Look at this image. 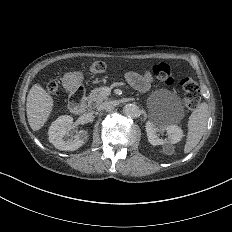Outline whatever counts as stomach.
Here are the masks:
<instances>
[{"label":"stomach","instance_id":"obj_1","mask_svg":"<svg viewBox=\"0 0 232 232\" xmlns=\"http://www.w3.org/2000/svg\"><path fill=\"white\" fill-rule=\"evenodd\" d=\"M78 76V80L80 81V76L79 75H77Z\"/></svg>","mask_w":232,"mask_h":232}]
</instances>
